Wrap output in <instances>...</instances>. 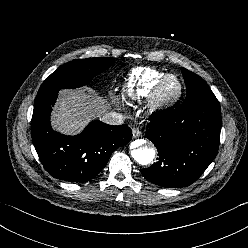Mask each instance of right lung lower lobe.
<instances>
[{"label":"right lung lower lobe","instance_id":"1","mask_svg":"<svg viewBox=\"0 0 248 248\" xmlns=\"http://www.w3.org/2000/svg\"><path fill=\"white\" fill-rule=\"evenodd\" d=\"M59 90L38 93L31 122L32 141L46 171L56 179L83 183L93 179L117 148L132 139L126 125L112 126L92 121L76 136L51 128L50 113Z\"/></svg>","mask_w":248,"mask_h":248}]
</instances>
